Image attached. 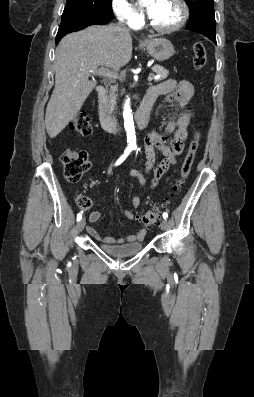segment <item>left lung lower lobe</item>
Masks as SVG:
<instances>
[{
	"label": "left lung lower lobe",
	"mask_w": 254,
	"mask_h": 397,
	"mask_svg": "<svg viewBox=\"0 0 254 397\" xmlns=\"http://www.w3.org/2000/svg\"><path fill=\"white\" fill-rule=\"evenodd\" d=\"M186 28L190 31L198 32L200 34H203L204 36L208 37L211 41L216 43V35H215V29H216V23H211V22H203V23H191L188 22Z\"/></svg>",
	"instance_id": "left-lung-lower-lobe-1"
}]
</instances>
